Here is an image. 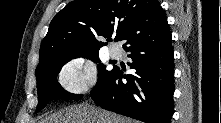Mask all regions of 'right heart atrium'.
Returning <instances> with one entry per match:
<instances>
[{"mask_svg":"<svg viewBox=\"0 0 221 123\" xmlns=\"http://www.w3.org/2000/svg\"><path fill=\"white\" fill-rule=\"evenodd\" d=\"M96 80L94 64L83 58L70 59L58 73V82L62 89L74 95L90 91L95 86Z\"/></svg>","mask_w":221,"mask_h":123,"instance_id":"right-heart-atrium-1","label":"right heart atrium"}]
</instances>
